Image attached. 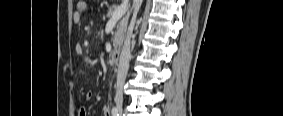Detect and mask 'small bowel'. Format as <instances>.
I'll use <instances>...</instances> for the list:
<instances>
[{
	"label": "small bowel",
	"instance_id": "1",
	"mask_svg": "<svg viewBox=\"0 0 283 116\" xmlns=\"http://www.w3.org/2000/svg\"><path fill=\"white\" fill-rule=\"evenodd\" d=\"M82 5H85V2H82L81 3ZM82 13H83V9H79V10H76L74 13H73V22L78 24L82 21ZM75 51L78 55L82 56L84 55V49L81 45H76L75 47ZM94 97V93L92 91H88L85 95V99L87 101H90L92 100ZM102 114L104 116H110V105L109 104H105L103 107H102ZM78 115L79 116H85L87 115V111L84 107H81L79 110H78Z\"/></svg>",
	"mask_w": 283,
	"mask_h": 116
}]
</instances>
